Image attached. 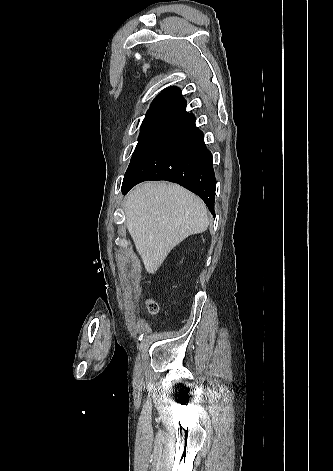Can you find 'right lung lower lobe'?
<instances>
[{
    "label": "right lung lower lobe",
    "instance_id": "98d812e1",
    "mask_svg": "<svg viewBox=\"0 0 333 471\" xmlns=\"http://www.w3.org/2000/svg\"><path fill=\"white\" fill-rule=\"evenodd\" d=\"M146 180L178 183L200 196L215 217L216 179L211 152L192 113L154 139L128 167L122 193Z\"/></svg>",
    "mask_w": 333,
    "mask_h": 471
}]
</instances>
